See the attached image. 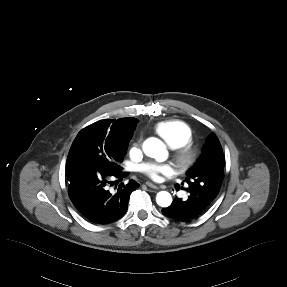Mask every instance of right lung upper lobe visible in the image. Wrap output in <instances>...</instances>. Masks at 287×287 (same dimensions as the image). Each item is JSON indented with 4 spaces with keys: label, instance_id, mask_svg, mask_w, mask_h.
Returning <instances> with one entry per match:
<instances>
[{
    "label": "right lung upper lobe",
    "instance_id": "1",
    "mask_svg": "<svg viewBox=\"0 0 287 287\" xmlns=\"http://www.w3.org/2000/svg\"><path fill=\"white\" fill-rule=\"evenodd\" d=\"M137 119L120 118L100 120L86 127L92 134L103 143L111 145L128 144L136 127Z\"/></svg>",
    "mask_w": 287,
    "mask_h": 287
}]
</instances>
